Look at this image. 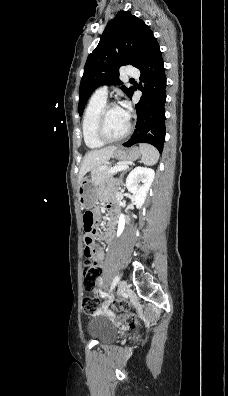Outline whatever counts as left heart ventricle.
Listing matches in <instances>:
<instances>
[{"instance_id":"b2bd125f","label":"left heart ventricle","mask_w":228,"mask_h":396,"mask_svg":"<svg viewBox=\"0 0 228 396\" xmlns=\"http://www.w3.org/2000/svg\"><path fill=\"white\" fill-rule=\"evenodd\" d=\"M128 119L124 116L120 107L108 111L105 120L106 133L111 137L121 135L127 128Z\"/></svg>"}]
</instances>
